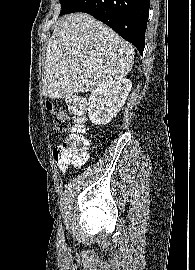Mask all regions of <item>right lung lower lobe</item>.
<instances>
[{"instance_id": "right-lung-lower-lobe-1", "label": "right lung lower lobe", "mask_w": 195, "mask_h": 270, "mask_svg": "<svg viewBox=\"0 0 195 270\" xmlns=\"http://www.w3.org/2000/svg\"><path fill=\"white\" fill-rule=\"evenodd\" d=\"M149 2L150 0H77L69 13L84 12L92 15L131 42L143 54Z\"/></svg>"}]
</instances>
